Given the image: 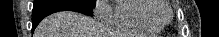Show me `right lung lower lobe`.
<instances>
[{
	"label": "right lung lower lobe",
	"mask_w": 219,
	"mask_h": 37,
	"mask_svg": "<svg viewBox=\"0 0 219 37\" xmlns=\"http://www.w3.org/2000/svg\"><path fill=\"white\" fill-rule=\"evenodd\" d=\"M76 11L88 16H92V11L70 1H53L49 3H45L39 6H34L33 14H32V32L40 23V21L45 18L46 16L58 12V11Z\"/></svg>",
	"instance_id": "obj_1"
}]
</instances>
